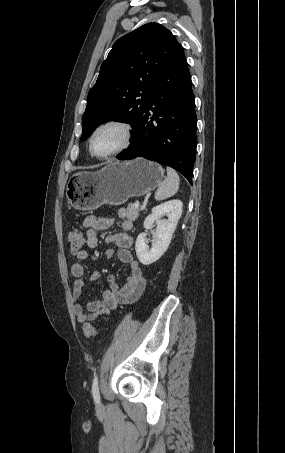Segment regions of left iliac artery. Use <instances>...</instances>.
<instances>
[{"label": "left iliac artery", "mask_w": 285, "mask_h": 453, "mask_svg": "<svg viewBox=\"0 0 285 453\" xmlns=\"http://www.w3.org/2000/svg\"><path fill=\"white\" fill-rule=\"evenodd\" d=\"M92 395L96 403L100 402V394H99V387H98V377L97 375L93 379L92 383Z\"/></svg>", "instance_id": "obj_1"}]
</instances>
